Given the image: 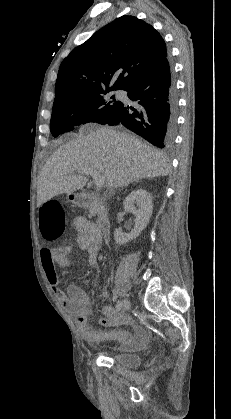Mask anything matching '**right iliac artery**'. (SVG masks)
Returning a JSON list of instances; mask_svg holds the SVG:
<instances>
[{
	"instance_id": "82829eb1",
	"label": "right iliac artery",
	"mask_w": 231,
	"mask_h": 419,
	"mask_svg": "<svg viewBox=\"0 0 231 419\" xmlns=\"http://www.w3.org/2000/svg\"><path fill=\"white\" fill-rule=\"evenodd\" d=\"M122 308V302L120 300H118L117 305H116V310H120Z\"/></svg>"
}]
</instances>
